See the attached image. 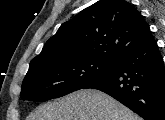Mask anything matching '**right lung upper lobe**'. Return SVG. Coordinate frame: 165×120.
Here are the masks:
<instances>
[{
  "mask_svg": "<svg viewBox=\"0 0 165 120\" xmlns=\"http://www.w3.org/2000/svg\"><path fill=\"white\" fill-rule=\"evenodd\" d=\"M153 39L140 12L124 0H100L63 23L29 67L73 58L116 62Z\"/></svg>",
  "mask_w": 165,
  "mask_h": 120,
  "instance_id": "cb5924a9",
  "label": "right lung upper lobe"
}]
</instances>
